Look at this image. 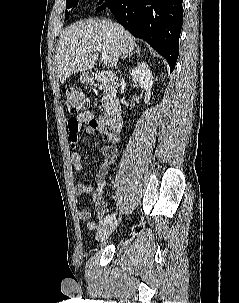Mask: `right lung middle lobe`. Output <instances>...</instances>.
<instances>
[{"mask_svg": "<svg viewBox=\"0 0 239 303\" xmlns=\"http://www.w3.org/2000/svg\"><path fill=\"white\" fill-rule=\"evenodd\" d=\"M103 2V0H100V2L99 3H102ZM77 4H78V0H66V15H68L69 14V12H68V9L69 8H71V7H76L77 6ZM68 17H66V19H67Z\"/></svg>", "mask_w": 239, "mask_h": 303, "instance_id": "dd1d6c3e", "label": "right lung middle lobe"}]
</instances>
